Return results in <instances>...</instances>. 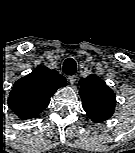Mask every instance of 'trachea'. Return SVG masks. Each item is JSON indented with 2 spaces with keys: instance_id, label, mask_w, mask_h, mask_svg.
<instances>
[{
  "instance_id": "1",
  "label": "trachea",
  "mask_w": 135,
  "mask_h": 153,
  "mask_svg": "<svg viewBox=\"0 0 135 153\" xmlns=\"http://www.w3.org/2000/svg\"><path fill=\"white\" fill-rule=\"evenodd\" d=\"M63 72L67 75H73L76 72V62L73 58H67L63 64Z\"/></svg>"
}]
</instances>
